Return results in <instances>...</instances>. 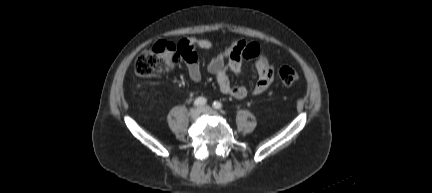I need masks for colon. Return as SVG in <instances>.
Returning <instances> with one entry per match:
<instances>
[{"mask_svg":"<svg viewBox=\"0 0 432 193\" xmlns=\"http://www.w3.org/2000/svg\"><path fill=\"white\" fill-rule=\"evenodd\" d=\"M178 47L167 41H158L146 48L136 59L134 69L141 76H151L171 71L180 63ZM280 81L290 86L299 80V74L291 67L283 66L278 71Z\"/></svg>","mask_w":432,"mask_h":193,"instance_id":"colon-1","label":"colon"}]
</instances>
